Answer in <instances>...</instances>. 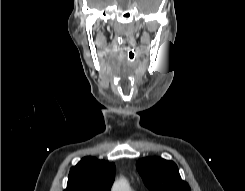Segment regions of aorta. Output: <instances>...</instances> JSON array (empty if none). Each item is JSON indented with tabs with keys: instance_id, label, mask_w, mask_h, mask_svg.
Returning a JSON list of instances; mask_svg holds the SVG:
<instances>
[{
	"instance_id": "obj_1",
	"label": "aorta",
	"mask_w": 245,
	"mask_h": 191,
	"mask_svg": "<svg viewBox=\"0 0 245 191\" xmlns=\"http://www.w3.org/2000/svg\"><path fill=\"white\" fill-rule=\"evenodd\" d=\"M112 191H131V189L128 182L121 178L114 183Z\"/></svg>"
}]
</instances>
